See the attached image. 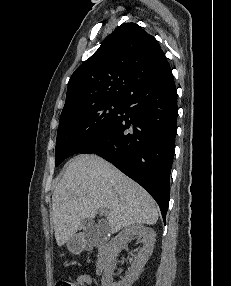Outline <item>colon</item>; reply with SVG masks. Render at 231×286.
Returning <instances> with one entry per match:
<instances>
[{
  "label": "colon",
  "instance_id": "obj_1",
  "mask_svg": "<svg viewBox=\"0 0 231 286\" xmlns=\"http://www.w3.org/2000/svg\"><path fill=\"white\" fill-rule=\"evenodd\" d=\"M56 286H77V284L71 281H61L58 282Z\"/></svg>",
  "mask_w": 231,
  "mask_h": 286
}]
</instances>
